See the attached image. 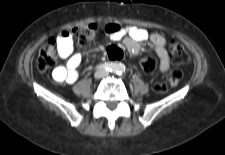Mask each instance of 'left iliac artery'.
<instances>
[{
  "mask_svg": "<svg viewBox=\"0 0 225 155\" xmlns=\"http://www.w3.org/2000/svg\"><path fill=\"white\" fill-rule=\"evenodd\" d=\"M124 69L122 65H118L117 70L115 71L118 75H121L123 73Z\"/></svg>",
  "mask_w": 225,
  "mask_h": 155,
  "instance_id": "1",
  "label": "left iliac artery"
}]
</instances>
